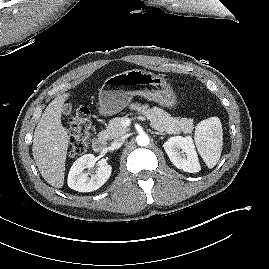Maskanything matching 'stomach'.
Wrapping results in <instances>:
<instances>
[{"instance_id": "0dacf381", "label": "stomach", "mask_w": 269, "mask_h": 269, "mask_svg": "<svg viewBox=\"0 0 269 269\" xmlns=\"http://www.w3.org/2000/svg\"><path fill=\"white\" fill-rule=\"evenodd\" d=\"M135 95L169 109L178 104L172 86L160 75L140 69L107 78L99 92V112L110 116L122 111Z\"/></svg>"}]
</instances>
